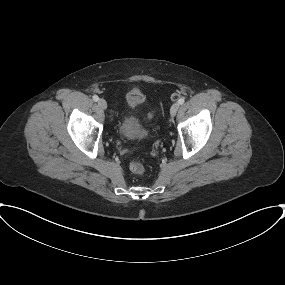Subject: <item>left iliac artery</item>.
<instances>
[{"label":"left iliac artery","mask_w":285,"mask_h":285,"mask_svg":"<svg viewBox=\"0 0 285 285\" xmlns=\"http://www.w3.org/2000/svg\"><path fill=\"white\" fill-rule=\"evenodd\" d=\"M185 102V99L183 97L179 98L178 103L182 105Z\"/></svg>","instance_id":"left-iliac-artery-1"}]
</instances>
